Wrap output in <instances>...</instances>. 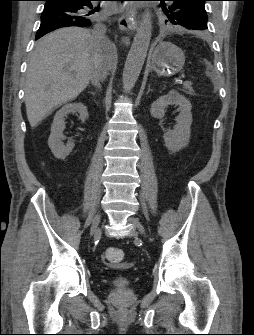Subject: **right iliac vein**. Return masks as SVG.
Segmentation results:
<instances>
[{"mask_svg": "<svg viewBox=\"0 0 254 335\" xmlns=\"http://www.w3.org/2000/svg\"><path fill=\"white\" fill-rule=\"evenodd\" d=\"M100 220H101V214H97L90 228L91 235H98L100 233V229H99Z\"/></svg>", "mask_w": 254, "mask_h": 335, "instance_id": "63e3f726", "label": "right iliac vein"}]
</instances>
